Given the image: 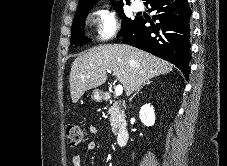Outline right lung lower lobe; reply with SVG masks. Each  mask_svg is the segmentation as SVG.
Instances as JSON below:
<instances>
[{"label": "right lung lower lobe", "instance_id": "right-lung-lower-lobe-1", "mask_svg": "<svg viewBox=\"0 0 227 166\" xmlns=\"http://www.w3.org/2000/svg\"><path fill=\"white\" fill-rule=\"evenodd\" d=\"M156 15L147 21L138 17L137 21L123 34L124 41L163 58L182 70L186 79L190 73V25L191 10L187 0H147Z\"/></svg>", "mask_w": 227, "mask_h": 166}]
</instances>
